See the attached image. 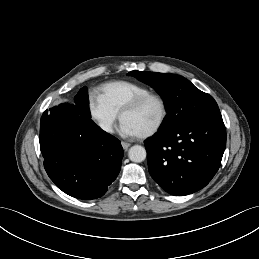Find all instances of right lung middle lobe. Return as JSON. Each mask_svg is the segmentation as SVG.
Masks as SVG:
<instances>
[{"label": "right lung middle lobe", "instance_id": "obj_1", "mask_svg": "<svg viewBox=\"0 0 259 259\" xmlns=\"http://www.w3.org/2000/svg\"><path fill=\"white\" fill-rule=\"evenodd\" d=\"M75 104L81 115L91 118L88 108L89 102L86 87L81 88L78 94L75 96Z\"/></svg>", "mask_w": 259, "mask_h": 259}]
</instances>
